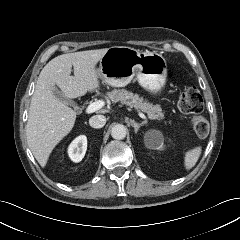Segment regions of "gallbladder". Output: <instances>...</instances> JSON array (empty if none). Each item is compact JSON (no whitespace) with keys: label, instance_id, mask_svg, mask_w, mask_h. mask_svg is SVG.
Returning a JSON list of instances; mask_svg holds the SVG:
<instances>
[{"label":"gallbladder","instance_id":"bac80fb5","mask_svg":"<svg viewBox=\"0 0 240 240\" xmlns=\"http://www.w3.org/2000/svg\"><path fill=\"white\" fill-rule=\"evenodd\" d=\"M53 93H54L55 97L57 99H59L61 102L65 103L67 105L73 106L74 108L77 107V104L74 101L65 97L64 94L60 90H58L57 88H55L53 90Z\"/></svg>","mask_w":240,"mask_h":240}]
</instances>
